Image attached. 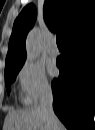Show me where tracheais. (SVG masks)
<instances>
[{
	"instance_id": "1",
	"label": "trachea",
	"mask_w": 95,
	"mask_h": 130,
	"mask_svg": "<svg viewBox=\"0 0 95 130\" xmlns=\"http://www.w3.org/2000/svg\"><path fill=\"white\" fill-rule=\"evenodd\" d=\"M56 42L58 46H63L62 37L60 34L56 36Z\"/></svg>"
}]
</instances>
